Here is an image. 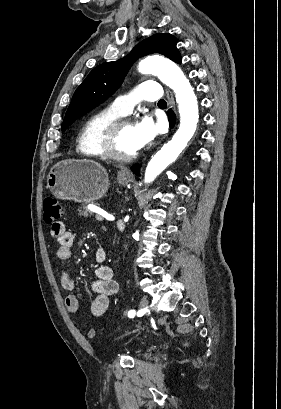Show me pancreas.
Masks as SVG:
<instances>
[{"instance_id":"1","label":"pancreas","mask_w":281,"mask_h":409,"mask_svg":"<svg viewBox=\"0 0 281 409\" xmlns=\"http://www.w3.org/2000/svg\"><path fill=\"white\" fill-rule=\"evenodd\" d=\"M78 211H79L80 215H83V217H88V215H89V211H88L87 207H85V205H81V207H80V209H78ZM97 221H99V220L97 219Z\"/></svg>"}]
</instances>
